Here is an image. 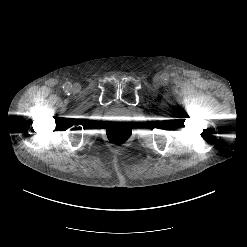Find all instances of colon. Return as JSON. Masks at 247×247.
Wrapping results in <instances>:
<instances>
[{
    "label": "colon",
    "instance_id": "5ec220e1",
    "mask_svg": "<svg viewBox=\"0 0 247 247\" xmlns=\"http://www.w3.org/2000/svg\"><path fill=\"white\" fill-rule=\"evenodd\" d=\"M106 138L112 145H125L131 141L132 131L127 126L111 128L107 131Z\"/></svg>",
    "mask_w": 247,
    "mask_h": 247
}]
</instances>
